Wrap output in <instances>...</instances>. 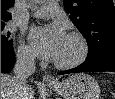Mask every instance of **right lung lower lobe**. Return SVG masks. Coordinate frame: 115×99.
Listing matches in <instances>:
<instances>
[{
  "instance_id": "98d812e1",
  "label": "right lung lower lobe",
  "mask_w": 115,
  "mask_h": 99,
  "mask_svg": "<svg viewBox=\"0 0 115 99\" xmlns=\"http://www.w3.org/2000/svg\"><path fill=\"white\" fill-rule=\"evenodd\" d=\"M15 63L14 51L1 50V73H8L13 68Z\"/></svg>"
}]
</instances>
